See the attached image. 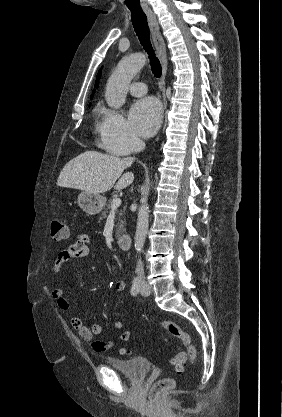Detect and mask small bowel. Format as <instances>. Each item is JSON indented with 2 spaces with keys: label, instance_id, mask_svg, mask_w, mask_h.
Listing matches in <instances>:
<instances>
[{
  "label": "small bowel",
  "instance_id": "1",
  "mask_svg": "<svg viewBox=\"0 0 282 417\" xmlns=\"http://www.w3.org/2000/svg\"><path fill=\"white\" fill-rule=\"evenodd\" d=\"M91 245L92 240L87 233H78L75 243L59 253L53 271L55 273H60L69 260L87 256ZM114 289L118 292H123L126 289V283L122 280H118L114 283ZM51 295L60 310H69L70 303L63 289L55 288L52 290ZM71 324L82 340L96 353L107 352L113 349L117 342H125L129 340L131 336L130 331L126 330L120 334L118 341L102 340L95 338L96 335L103 333L104 329L100 324L87 325L79 316L72 317ZM112 326L116 329H120L122 328V323L120 321H113Z\"/></svg>",
  "mask_w": 282,
  "mask_h": 417
}]
</instances>
